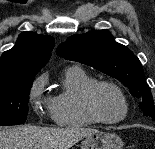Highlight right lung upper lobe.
Returning <instances> with one entry per match:
<instances>
[{"label": "right lung upper lobe", "instance_id": "right-lung-upper-lobe-1", "mask_svg": "<svg viewBox=\"0 0 155 149\" xmlns=\"http://www.w3.org/2000/svg\"><path fill=\"white\" fill-rule=\"evenodd\" d=\"M54 42L48 35L21 33L15 46L0 58V78L35 75L48 62Z\"/></svg>", "mask_w": 155, "mask_h": 149}]
</instances>
